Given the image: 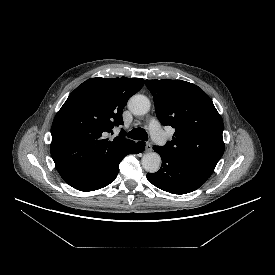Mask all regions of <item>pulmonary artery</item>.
Here are the masks:
<instances>
[{
  "label": "pulmonary artery",
  "mask_w": 275,
  "mask_h": 275,
  "mask_svg": "<svg viewBox=\"0 0 275 275\" xmlns=\"http://www.w3.org/2000/svg\"><path fill=\"white\" fill-rule=\"evenodd\" d=\"M149 130L152 135V138L156 142H158L159 144L164 143L165 137L161 130L160 124L157 120L155 119L151 120V122L149 123Z\"/></svg>",
  "instance_id": "e3ab8cb5"
}]
</instances>
